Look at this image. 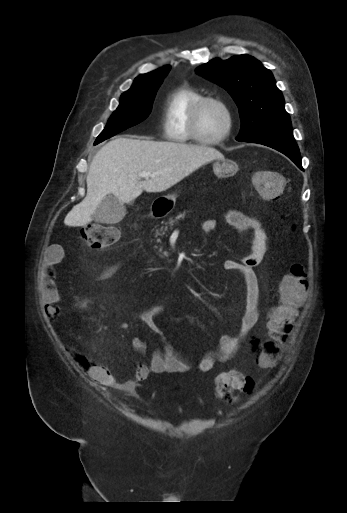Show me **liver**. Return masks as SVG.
<instances>
[{
  "instance_id": "liver-1",
  "label": "liver",
  "mask_w": 347,
  "mask_h": 513,
  "mask_svg": "<svg viewBox=\"0 0 347 513\" xmlns=\"http://www.w3.org/2000/svg\"><path fill=\"white\" fill-rule=\"evenodd\" d=\"M221 152L205 145L116 138L93 158L86 178L87 195L66 215L67 226H84L108 194L130 203L143 191L156 193L177 184L202 165L223 159ZM141 172L154 174L141 180Z\"/></svg>"
}]
</instances>
